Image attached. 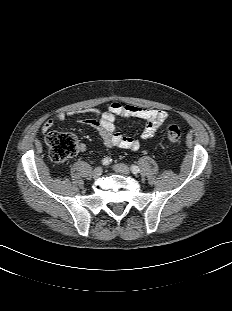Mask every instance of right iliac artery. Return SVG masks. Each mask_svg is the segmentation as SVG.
Here are the masks:
<instances>
[{
  "instance_id": "82829eb1",
  "label": "right iliac artery",
  "mask_w": 232,
  "mask_h": 311,
  "mask_svg": "<svg viewBox=\"0 0 232 311\" xmlns=\"http://www.w3.org/2000/svg\"><path fill=\"white\" fill-rule=\"evenodd\" d=\"M112 159L106 157L102 160L103 165H109L111 163Z\"/></svg>"
}]
</instances>
